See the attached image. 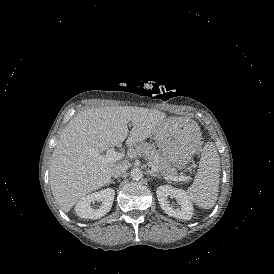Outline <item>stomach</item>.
Returning a JSON list of instances; mask_svg holds the SVG:
<instances>
[{
  "label": "stomach",
  "instance_id": "1",
  "mask_svg": "<svg viewBox=\"0 0 274 274\" xmlns=\"http://www.w3.org/2000/svg\"><path fill=\"white\" fill-rule=\"evenodd\" d=\"M171 121V118L167 119ZM196 122L183 121L180 124L172 123L165 130L156 131L155 137L159 151L171 162V168L175 171L185 170L195 153L200 141L198 135L199 127L193 129Z\"/></svg>",
  "mask_w": 274,
  "mask_h": 274
}]
</instances>
